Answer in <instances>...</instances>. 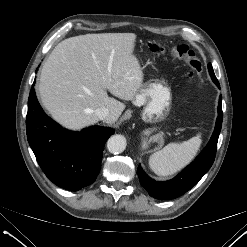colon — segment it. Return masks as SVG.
<instances>
[{
    "label": "colon",
    "instance_id": "5ec220e1",
    "mask_svg": "<svg viewBox=\"0 0 247 247\" xmlns=\"http://www.w3.org/2000/svg\"><path fill=\"white\" fill-rule=\"evenodd\" d=\"M149 50L157 55H170L172 57L185 61L191 69V78L193 81L201 84L202 63L194 50L186 44H179L172 47H161L155 44L149 46Z\"/></svg>",
    "mask_w": 247,
    "mask_h": 247
}]
</instances>
